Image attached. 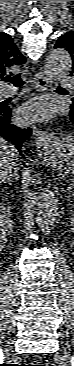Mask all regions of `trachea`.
<instances>
[{"label":"trachea","mask_w":74,"mask_h":366,"mask_svg":"<svg viewBox=\"0 0 74 366\" xmlns=\"http://www.w3.org/2000/svg\"><path fill=\"white\" fill-rule=\"evenodd\" d=\"M3 80L12 83L15 87H20L25 83V81L21 77V74H17V75L12 76V77L7 76ZM57 88L61 89L60 86H58Z\"/></svg>","instance_id":"trachea-1"}]
</instances>
